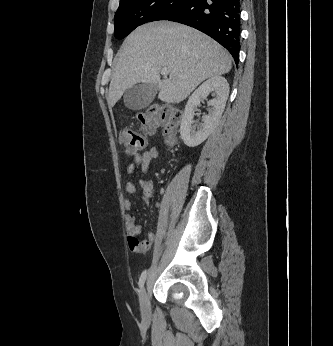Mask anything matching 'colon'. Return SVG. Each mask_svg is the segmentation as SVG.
Wrapping results in <instances>:
<instances>
[{"instance_id": "obj_1", "label": "colon", "mask_w": 333, "mask_h": 346, "mask_svg": "<svg viewBox=\"0 0 333 346\" xmlns=\"http://www.w3.org/2000/svg\"><path fill=\"white\" fill-rule=\"evenodd\" d=\"M183 116L182 111L169 104H156L138 113L137 119L141 124V131L125 128L120 132V142L127 155H134L145 147L146 136L161 129L166 143L172 146L175 142L178 125Z\"/></svg>"}]
</instances>
